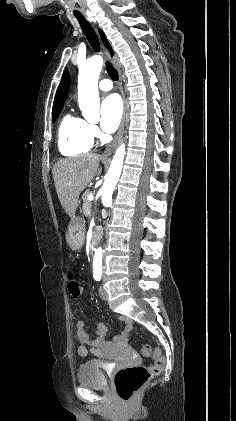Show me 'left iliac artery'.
<instances>
[{"label":"left iliac artery","instance_id":"obj_1","mask_svg":"<svg viewBox=\"0 0 236 421\" xmlns=\"http://www.w3.org/2000/svg\"><path fill=\"white\" fill-rule=\"evenodd\" d=\"M102 273H94L93 277L96 281H100Z\"/></svg>","mask_w":236,"mask_h":421}]
</instances>
